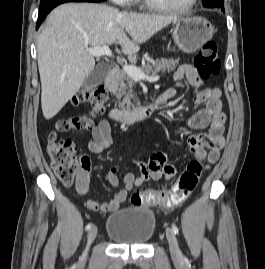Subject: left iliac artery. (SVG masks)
Segmentation results:
<instances>
[{
    "mask_svg": "<svg viewBox=\"0 0 265 269\" xmlns=\"http://www.w3.org/2000/svg\"><path fill=\"white\" fill-rule=\"evenodd\" d=\"M172 230L174 231L175 234H179V229L176 225H172ZM184 260H186L185 257H184Z\"/></svg>",
    "mask_w": 265,
    "mask_h": 269,
    "instance_id": "left-iliac-artery-1",
    "label": "left iliac artery"
}]
</instances>
